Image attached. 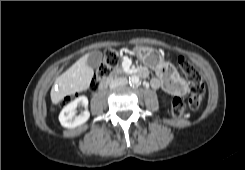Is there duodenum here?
Returning <instances> with one entry per match:
<instances>
[{"instance_id": "1", "label": "duodenum", "mask_w": 245, "mask_h": 170, "mask_svg": "<svg viewBox=\"0 0 245 170\" xmlns=\"http://www.w3.org/2000/svg\"><path fill=\"white\" fill-rule=\"evenodd\" d=\"M138 75H140L141 77H144V76L146 75V71H145L144 69H140V70L138 71ZM109 82H110L109 79L103 80V81L99 84V89H100V90L105 89V88L108 86Z\"/></svg>"}]
</instances>
